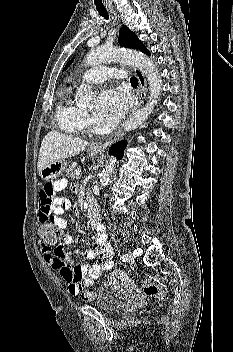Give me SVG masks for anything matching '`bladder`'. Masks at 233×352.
Returning <instances> with one entry per match:
<instances>
[{
  "label": "bladder",
  "instance_id": "bladder-1",
  "mask_svg": "<svg viewBox=\"0 0 233 352\" xmlns=\"http://www.w3.org/2000/svg\"><path fill=\"white\" fill-rule=\"evenodd\" d=\"M125 302V297L121 292L104 284L97 289L93 304L97 309L113 314L121 310Z\"/></svg>",
  "mask_w": 233,
  "mask_h": 352
}]
</instances>
